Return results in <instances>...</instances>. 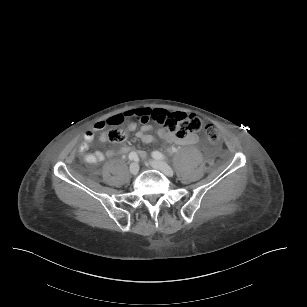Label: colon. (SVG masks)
Masks as SVG:
<instances>
[{
	"label": "colon",
	"mask_w": 307,
	"mask_h": 307,
	"mask_svg": "<svg viewBox=\"0 0 307 307\" xmlns=\"http://www.w3.org/2000/svg\"><path fill=\"white\" fill-rule=\"evenodd\" d=\"M152 122L167 130L175 132L179 136H187L201 129V121L192 115L181 112L156 111L150 116ZM120 120H109L102 122L98 126V130L102 132L104 138L112 143H121L126 138L127 131L132 129V125L127 128H120ZM204 133L213 146L219 144L220 135L213 125H206Z\"/></svg>",
	"instance_id": "1"
}]
</instances>
